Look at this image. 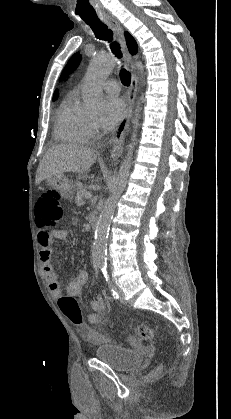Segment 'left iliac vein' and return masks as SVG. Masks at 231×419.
<instances>
[{
    "mask_svg": "<svg viewBox=\"0 0 231 419\" xmlns=\"http://www.w3.org/2000/svg\"><path fill=\"white\" fill-rule=\"evenodd\" d=\"M114 288H115V289H116V291L118 292L120 302H121V303H123V304H126L127 302H126V300H125L124 293H123V292L121 291V289H120V288H118L117 286H114Z\"/></svg>",
    "mask_w": 231,
    "mask_h": 419,
    "instance_id": "1",
    "label": "left iliac vein"
}]
</instances>
